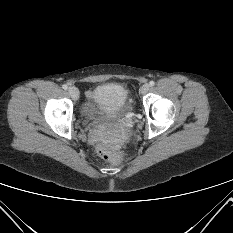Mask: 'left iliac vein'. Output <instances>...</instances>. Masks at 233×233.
I'll return each instance as SVG.
<instances>
[{"label": "left iliac vein", "mask_w": 233, "mask_h": 233, "mask_svg": "<svg viewBox=\"0 0 233 233\" xmlns=\"http://www.w3.org/2000/svg\"><path fill=\"white\" fill-rule=\"evenodd\" d=\"M149 89H150L149 84H144L141 88V93L146 94L149 91Z\"/></svg>", "instance_id": "1"}]
</instances>
